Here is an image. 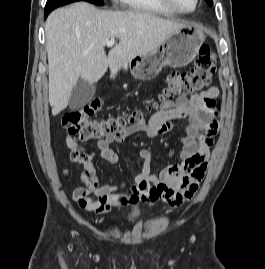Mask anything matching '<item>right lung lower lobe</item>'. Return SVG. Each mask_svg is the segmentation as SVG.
I'll list each match as a JSON object with an SVG mask.
<instances>
[{
  "label": "right lung lower lobe",
  "mask_w": 265,
  "mask_h": 269,
  "mask_svg": "<svg viewBox=\"0 0 265 269\" xmlns=\"http://www.w3.org/2000/svg\"><path fill=\"white\" fill-rule=\"evenodd\" d=\"M77 1H81V0H47L46 6H45L44 19H46L48 14L55 8L72 3V2H77Z\"/></svg>",
  "instance_id": "1"
}]
</instances>
